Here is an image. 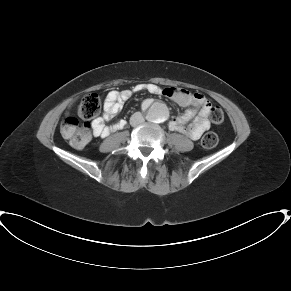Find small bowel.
Listing matches in <instances>:
<instances>
[{
    "label": "small bowel",
    "instance_id": "1",
    "mask_svg": "<svg viewBox=\"0 0 291 291\" xmlns=\"http://www.w3.org/2000/svg\"><path fill=\"white\" fill-rule=\"evenodd\" d=\"M140 91L166 96L175 103L187 107L181 116L170 119L168 126L171 131L179 132L193 140H198L209 130L210 121L208 114L211 105L207 102L204 95L201 93L192 95L179 88L163 89L154 83H139L132 89L109 92L105 99L102 119H109L118 114L122 110L124 102L131 97L132 93ZM148 105V102L143 104L145 108ZM102 119L92 122V130L96 137L105 138L110 133L122 129L125 125L124 120L105 125Z\"/></svg>",
    "mask_w": 291,
    "mask_h": 291
}]
</instances>
